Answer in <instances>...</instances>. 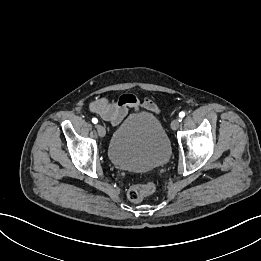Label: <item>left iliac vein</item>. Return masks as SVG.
<instances>
[{"instance_id": "obj_1", "label": "left iliac vein", "mask_w": 261, "mask_h": 261, "mask_svg": "<svg viewBox=\"0 0 261 261\" xmlns=\"http://www.w3.org/2000/svg\"><path fill=\"white\" fill-rule=\"evenodd\" d=\"M180 126V120L179 119H174L172 122H171V128L173 130H177Z\"/></svg>"}]
</instances>
